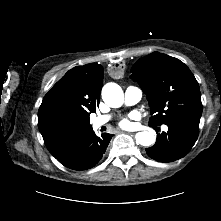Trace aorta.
Returning a JSON list of instances; mask_svg holds the SVG:
<instances>
[{"mask_svg": "<svg viewBox=\"0 0 221 221\" xmlns=\"http://www.w3.org/2000/svg\"><path fill=\"white\" fill-rule=\"evenodd\" d=\"M102 99L108 106L118 108L124 102L123 90L116 83H107L102 89ZM135 138L143 146H151L155 142V136L150 131L138 132Z\"/></svg>", "mask_w": 221, "mask_h": 221, "instance_id": "aorta-1", "label": "aorta"}]
</instances>
